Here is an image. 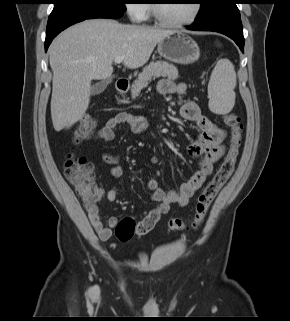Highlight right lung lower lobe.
Returning a JSON list of instances; mask_svg holds the SVG:
<instances>
[{"mask_svg": "<svg viewBox=\"0 0 290 321\" xmlns=\"http://www.w3.org/2000/svg\"><path fill=\"white\" fill-rule=\"evenodd\" d=\"M122 12L115 13H103V14H60L56 16H49L47 29H46V40H45V51H47L52 40L64 29L67 27L81 22L85 19H93V18H109L116 19L122 16Z\"/></svg>", "mask_w": 290, "mask_h": 321, "instance_id": "obj_1", "label": "right lung lower lobe"}]
</instances>
